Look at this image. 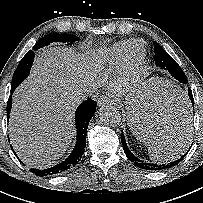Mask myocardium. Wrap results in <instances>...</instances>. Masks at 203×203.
Returning a JSON list of instances; mask_svg holds the SVG:
<instances>
[{
  "instance_id": "1",
  "label": "myocardium",
  "mask_w": 203,
  "mask_h": 203,
  "mask_svg": "<svg viewBox=\"0 0 203 203\" xmlns=\"http://www.w3.org/2000/svg\"><path fill=\"white\" fill-rule=\"evenodd\" d=\"M135 46L141 47V54L135 57L133 49ZM146 58V49L143 43L138 40L131 41L119 70V83L125 85L130 78H132L142 67Z\"/></svg>"
}]
</instances>
